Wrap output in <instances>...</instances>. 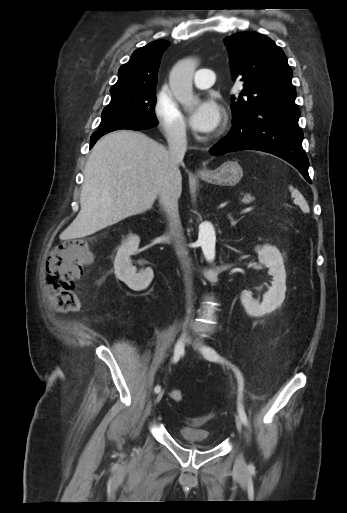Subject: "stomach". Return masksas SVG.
<instances>
[{
    "instance_id": "0dacf381",
    "label": "stomach",
    "mask_w": 347,
    "mask_h": 513,
    "mask_svg": "<svg viewBox=\"0 0 347 513\" xmlns=\"http://www.w3.org/2000/svg\"><path fill=\"white\" fill-rule=\"evenodd\" d=\"M242 177L243 169L237 161H226L217 169L201 175L202 180L220 186H235Z\"/></svg>"
}]
</instances>
